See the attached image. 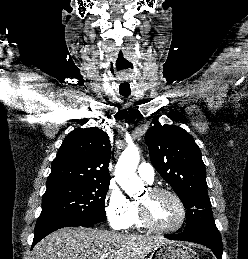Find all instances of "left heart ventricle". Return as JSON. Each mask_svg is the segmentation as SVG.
Masks as SVG:
<instances>
[{"label": "left heart ventricle", "instance_id": "left-heart-ventricle-1", "mask_svg": "<svg viewBox=\"0 0 248 259\" xmlns=\"http://www.w3.org/2000/svg\"><path fill=\"white\" fill-rule=\"evenodd\" d=\"M139 201L147 205L150 218L158 227L171 228L179 222L180 209L172 197L146 191Z\"/></svg>", "mask_w": 248, "mask_h": 259}]
</instances>
